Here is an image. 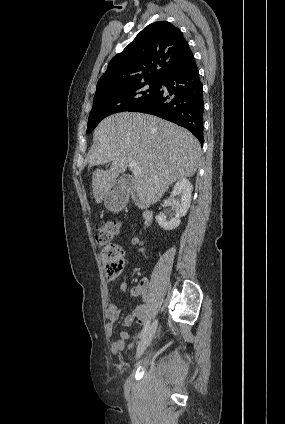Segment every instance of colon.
<instances>
[{
  "label": "colon",
  "mask_w": 285,
  "mask_h": 424,
  "mask_svg": "<svg viewBox=\"0 0 285 424\" xmlns=\"http://www.w3.org/2000/svg\"><path fill=\"white\" fill-rule=\"evenodd\" d=\"M121 225L119 222L112 221L97 225L94 228V237L98 246L102 247V263L105 275L108 278L117 277L124 267V251L113 241L120 233ZM137 245H142L140 237L133 239Z\"/></svg>",
  "instance_id": "obj_1"
}]
</instances>
